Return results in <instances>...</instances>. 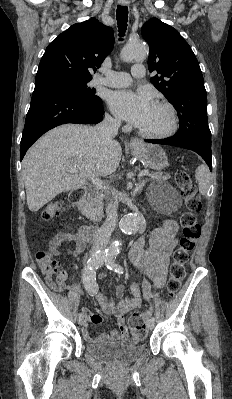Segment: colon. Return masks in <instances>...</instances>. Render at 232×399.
<instances>
[{"label":"colon","mask_w":232,"mask_h":399,"mask_svg":"<svg viewBox=\"0 0 232 399\" xmlns=\"http://www.w3.org/2000/svg\"><path fill=\"white\" fill-rule=\"evenodd\" d=\"M174 181L178 184V188L182 196L187 197V209L182 213L181 222H183V236L178 241V251H174L173 261L171 263V275L169 277L168 287L164 290V296L168 300H173L177 296V291L181 288V282L185 274L184 264L190 262L189 253L193 250L192 242L198 239V235H202L199 222L195 219L197 211H201V203L199 200L200 191L197 185L193 184L192 179L183 170H177L173 174ZM66 212V207L60 205L58 199H51L40 206L35 213V218L39 222H44L49 216L54 218ZM55 256V251L51 247L37 252V261L41 264V270L44 276L51 283V290L61 292L66 290L64 277L60 274L50 260ZM131 330H133V341H142L141 335H146V326L142 319L141 313H136L135 317L129 318Z\"/></svg>","instance_id":"obj_1"}]
</instances>
